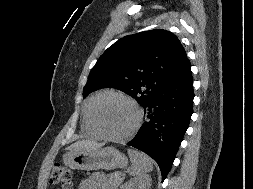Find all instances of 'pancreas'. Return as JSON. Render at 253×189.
<instances>
[{
  "instance_id": "1",
  "label": "pancreas",
  "mask_w": 253,
  "mask_h": 189,
  "mask_svg": "<svg viewBox=\"0 0 253 189\" xmlns=\"http://www.w3.org/2000/svg\"><path fill=\"white\" fill-rule=\"evenodd\" d=\"M107 177L109 184L114 187H118L124 179V175L121 172H114L112 174H109Z\"/></svg>"
}]
</instances>
